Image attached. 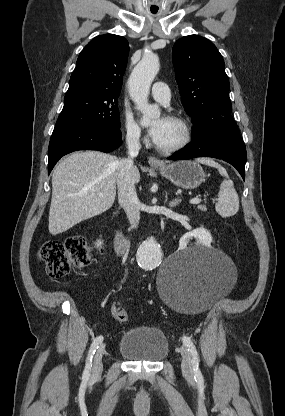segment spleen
I'll use <instances>...</instances> for the list:
<instances>
[{
	"instance_id": "obj_1",
	"label": "spleen",
	"mask_w": 285,
	"mask_h": 416,
	"mask_svg": "<svg viewBox=\"0 0 285 416\" xmlns=\"http://www.w3.org/2000/svg\"><path fill=\"white\" fill-rule=\"evenodd\" d=\"M196 162H199V164H205V166H211V168H217L219 174L226 178L220 186L218 202L215 206V210L217 214H219V216H223V218L235 216L239 210V198L232 180H229V176L225 168H222L220 164L214 162L213 158H197Z\"/></svg>"
}]
</instances>
